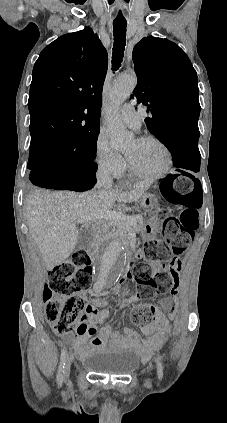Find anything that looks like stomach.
<instances>
[{
    "instance_id": "1",
    "label": "stomach",
    "mask_w": 227,
    "mask_h": 423,
    "mask_svg": "<svg viewBox=\"0 0 227 423\" xmlns=\"http://www.w3.org/2000/svg\"><path fill=\"white\" fill-rule=\"evenodd\" d=\"M122 186H127V184H122ZM138 206L142 208V210H154V198L152 194H144V196H141Z\"/></svg>"
}]
</instances>
